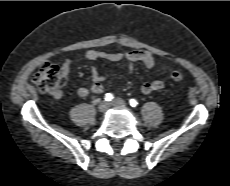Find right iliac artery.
<instances>
[{"instance_id": "82829eb1", "label": "right iliac artery", "mask_w": 230, "mask_h": 186, "mask_svg": "<svg viewBox=\"0 0 230 186\" xmlns=\"http://www.w3.org/2000/svg\"><path fill=\"white\" fill-rule=\"evenodd\" d=\"M113 98L114 96L111 93L105 94V97H104L105 101H112Z\"/></svg>"}]
</instances>
